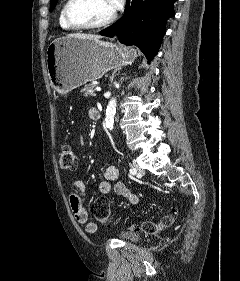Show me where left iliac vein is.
<instances>
[{
  "label": "left iliac vein",
  "instance_id": "1",
  "mask_svg": "<svg viewBox=\"0 0 240 281\" xmlns=\"http://www.w3.org/2000/svg\"><path fill=\"white\" fill-rule=\"evenodd\" d=\"M135 169L138 172V176L144 175V170L138 165L137 161L133 162Z\"/></svg>",
  "mask_w": 240,
  "mask_h": 281
}]
</instances>
